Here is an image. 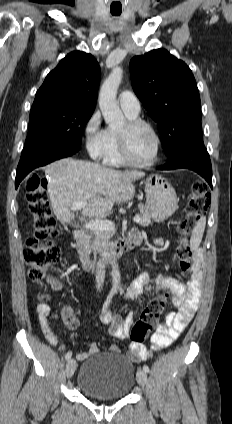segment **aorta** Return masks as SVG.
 Segmentation results:
<instances>
[{
	"mask_svg": "<svg viewBox=\"0 0 232 424\" xmlns=\"http://www.w3.org/2000/svg\"><path fill=\"white\" fill-rule=\"evenodd\" d=\"M123 77V71L120 67L113 68L108 78L101 86L99 94V106L105 122L111 126H120L124 122V115L117 103V90ZM112 292L119 289L120 272L116 259L111 261Z\"/></svg>",
	"mask_w": 232,
	"mask_h": 424,
	"instance_id": "aorta-1",
	"label": "aorta"
}]
</instances>
